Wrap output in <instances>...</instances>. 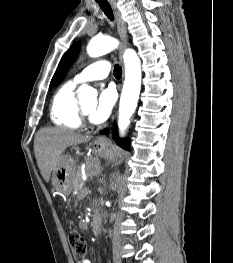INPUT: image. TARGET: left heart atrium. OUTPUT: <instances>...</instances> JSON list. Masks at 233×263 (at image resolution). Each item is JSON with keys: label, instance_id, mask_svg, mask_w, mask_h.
<instances>
[{"label": "left heart atrium", "instance_id": "left-heart-atrium-1", "mask_svg": "<svg viewBox=\"0 0 233 263\" xmlns=\"http://www.w3.org/2000/svg\"><path fill=\"white\" fill-rule=\"evenodd\" d=\"M116 99V93L113 87L104 86L101 88L98 101L90 112V119L93 123L104 122L110 115Z\"/></svg>", "mask_w": 233, "mask_h": 263}]
</instances>
